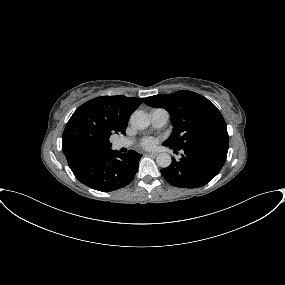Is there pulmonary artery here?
<instances>
[{
  "instance_id": "e3ab8cb5",
  "label": "pulmonary artery",
  "mask_w": 285,
  "mask_h": 285,
  "mask_svg": "<svg viewBox=\"0 0 285 285\" xmlns=\"http://www.w3.org/2000/svg\"><path fill=\"white\" fill-rule=\"evenodd\" d=\"M151 124L154 128H162L169 121V113L167 110L162 108L153 109L150 112ZM133 143L131 139H120L114 143L116 148L130 147Z\"/></svg>"
}]
</instances>
